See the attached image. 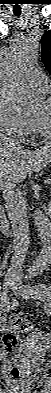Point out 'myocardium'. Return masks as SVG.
I'll return each instance as SVG.
<instances>
[{"mask_svg":"<svg viewBox=\"0 0 51 393\" xmlns=\"http://www.w3.org/2000/svg\"><path fill=\"white\" fill-rule=\"evenodd\" d=\"M46 102L51 105V97L47 98ZM34 123L43 137L48 138L51 136V130L47 129L40 120L34 119Z\"/></svg>","mask_w":51,"mask_h":393,"instance_id":"f54148a6","label":"myocardium"}]
</instances>
